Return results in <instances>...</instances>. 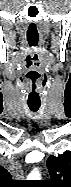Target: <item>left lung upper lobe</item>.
Instances as JSON below:
<instances>
[{
  "label": "left lung upper lobe",
  "instance_id": "5c2ea615",
  "mask_svg": "<svg viewBox=\"0 0 71 187\" xmlns=\"http://www.w3.org/2000/svg\"><path fill=\"white\" fill-rule=\"evenodd\" d=\"M47 167L52 180L42 183L51 187H71V151H66L58 157L50 156Z\"/></svg>",
  "mask_w": 71,
  "mask_h": 187
}]
</instances>
